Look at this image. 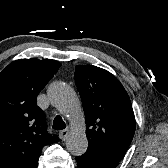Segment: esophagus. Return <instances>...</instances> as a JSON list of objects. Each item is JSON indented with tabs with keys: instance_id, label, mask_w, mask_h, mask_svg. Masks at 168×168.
I'll return each instance as SVG.
<instances>
[{
	"instance_id": "1",
	"label": "esophagus",
	"mask_w": 168,
	"mask_h": 168,
	"mask_svg": "<svg viewBox=\"0 0 168 168\" xmlns=\"http://www.w3.org/2000/svg\"><path fill=\"white\" fill-rule=\"evenodd\" d=\"M69 133H70V130H69L68 127L65 128V129H63V130H61V131L59 132V137H60V139H61L62 141H65V140L68 138Z\"/></svg>"
}]
</instances>
